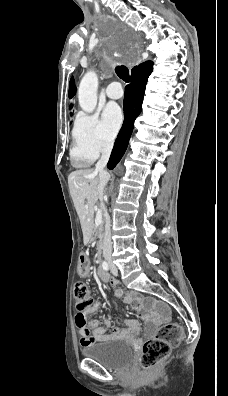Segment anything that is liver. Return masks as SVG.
<instances>
[{
	"instance_id": "obj_1",
	"label": "liver",
	"mask_w": 228,
	"mask_h": 396,
	"mask_svg": "<svg viewBox=\"0 0 228 396\" xmlns=\"http://www.w3.org/2000/svg\"><path fill=\"white\" fill-rule=\"evenodd\" d=\"M99 180V172L93 169L76 170L68 176L70 194L80 219L85 242L91 234L95 203L98 199L102 200L98 191Z\"/></svg>"
}]
</instances>
